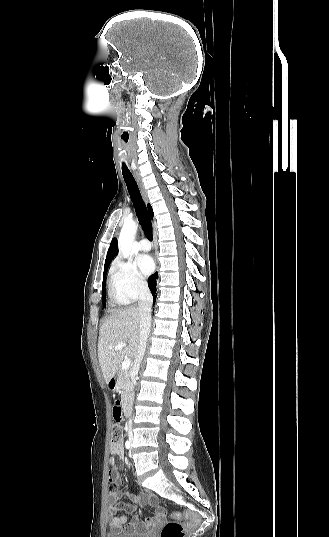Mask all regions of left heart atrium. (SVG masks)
I'll return each instance as SVG.
<instances>
[{
    "mask_svg": "<svg viewBox=\"0 0 329 537\" xmlns=\"http://www.w3.org/2000/svg\"><path fill=\"white\" fill-rule=\"evenodd\" d=\"M137 264L141 273L145 276L150 275L154 270V262L149 255H140L137 259Z\"/></svg>",
    "mask_w": 329,
    "mask_h": 537,
    "instance_id": "39dd6f15",
    "label": "left heart atrium"
}]
</instances>
